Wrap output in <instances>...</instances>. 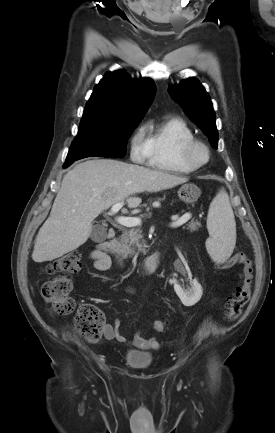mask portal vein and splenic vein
Returning a JSON list of instances; mask_svg holds the SVG:
<instances>
[{
  "mask_svg": "<svg viewBox=\"0 0 275 433\" xmlns=\"http://www.w3.org/2000/svg\"><path fill=\"white\" fill-rule=\"evenodd\" d=\"M123 207V202H118L116 204H114L111 207L110 213L111 214H115L117 213L121 208ZM191 218V214L186 213L183 216H181L180 218L174 220L171 223V227L173 228H177L179 226H182L183 224H185L189 219ZM116 222L122 226H126V227H134V226H139L141 225V219L138 217H126V216H119L116 218Z\"/></svg>",
  "mask_w": 275,
  "mask_h": 433,
  "instance_id": "1",
  "label": "portal vein and splenic vein"
}]
</instances>
